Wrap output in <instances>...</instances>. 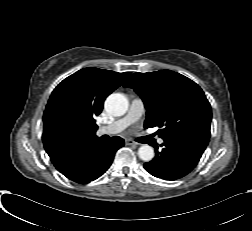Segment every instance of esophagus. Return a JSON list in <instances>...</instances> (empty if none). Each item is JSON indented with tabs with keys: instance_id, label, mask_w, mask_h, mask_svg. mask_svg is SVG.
Returning a JSON list of instances; mask_svg holds the SVG:
<instances>
[{
	"instance_id": "1",
	"label": "esophagus",
	"mask_w": 252,
	"mask_h": 231,
	"mask_svg": "<svg viewBox=\"0 0 252 231\" xmlns=\"http://www.w3.org/2000/svg\"><path fill=\"white\" fill-rule=\"evenodd\" d=\"M125 143H126L127 145H131V146H137V145H138V143H136L135 141H133V140H131V139H126V140H125Z\"/></svg>"
}]
</instances>
